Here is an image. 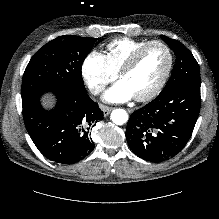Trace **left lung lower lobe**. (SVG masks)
Listing matches in <instances>:
<instances>
[{"instance_id":"0a47b994","label":"left lung lower lobe","mask_w":219,"mask_h":219,"mask_svg":"<svg viewBox=\"0 0 219 219\" xmlns=\"http://www.w3.org/2000/svg\"><path fill=\"white\" fill-rule=\"evenodd\" d=\"M200 103V82H182L159 94L130 116L126 129L129 147L151 162L174 157L191 137Z\"/></svg>"}]
</instances>
